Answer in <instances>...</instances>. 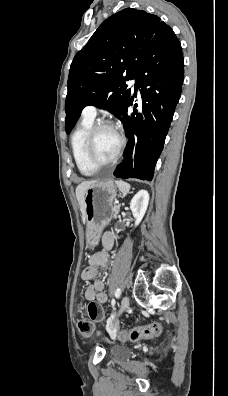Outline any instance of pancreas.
Wrapping results in <instances>:
<instances>
[{
	"label": "pancreas",
	"mask_w": 228,
	"mask_h": 396,
	"mask_svg": "<svg viewBox=\"0 0 228 396\" xmlns=\"http://www.w3.org/2000/svg\"><path fill=\"white\" fill-rule=\"evenodd\" d=\"M112 210H113L112 219H113V220H116V219H117V216H116V215H117V213H118V211H119V206L114 204Z\"/></svg>",
	"instance_id": "obj_1"
}]
</instances>
